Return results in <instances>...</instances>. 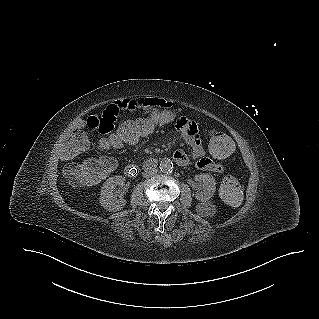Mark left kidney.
Listing matches in <instances>:
<instances>
[{
    "label": "left kidney",
    "instance_id": "1",
    "mask_svg": "<svg viewBox=\"0 0 319 319\" xmlns=\"http://www.w3.org/2000/svg\"><path fill=\"white\" fill-rule=\"evenodd\" d=\"M195 181L203 183V190L197 191L195 198L202 204H207L213 197L216 190V182L214 177L210 174H199L195 176Z\"/></svg>",
    "mask_w": 319,
    "mask_h": 319
}]
</instances>
